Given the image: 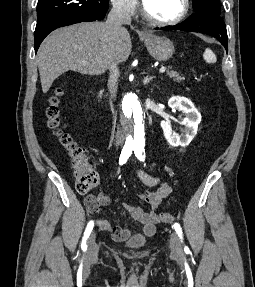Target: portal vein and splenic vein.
Wrapping results in <instances>:
<instances>
[{
  "mask_svg": "<svg viewBox=\"0 0 255 287\" xmlns=\"http://www.w3.org/2000/svg\"><path fill=\"white\" fill-rule=\"evenodd\" d=\"M166 68H160L159 72L160 74H163V72H165Z\"/></svg>",
  "mask_w": 255,
  "mask_h": 287,
  "instance_id": "obj_1",
  "label": "portal vein and splenic vein"
}]
</instances>
